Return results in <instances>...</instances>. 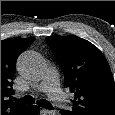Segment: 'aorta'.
Masks as SVG:
<instances>
[{
	"label": "aorta",
	"instance_id": "762f6f07",
	"mask_svg": "<svg viewBox=\"0 0 115 115\" xmlns=\"http://www.w3.org/2000/svg\"><path fill=\"white\" fill-rule=\"evenodd\" d=\"M19 72L27 79L39 80L45 70L43 58L36 52L28 51L23 53L18 61ZM53 112H51L52 114ZM53 115H55L53 113Z\"/></svg>",
	"mask_w": 115,
	"mask_h": 115
}]
</instances>
